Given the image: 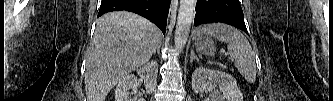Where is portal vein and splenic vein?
Returning <instances> with one entry per match:
<instances>
[{
  "instance_id": "obj_1",
  "label": "portal vein and splenic vein",
  "mask_w": 333,
  "mask_h": 101,
  "mask_svg": "<svg viewBox=\"0 0 333 101\" xmlns=\"http://www.w3.org/2000/svg\"><path fill=\"white\" fill-rule=\"evenodd\" d=\"M221 52H222V53H224L225 55H228V53H226V52H225V51H223V50H222Z\"/></svg>"
}]
</instances>
